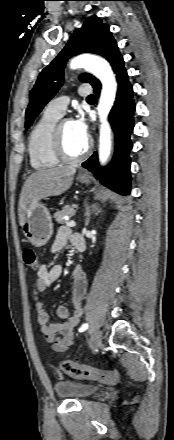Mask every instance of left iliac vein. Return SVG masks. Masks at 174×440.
I'll use <instances>...</instances> for the list:
<instances>
[{
    "instance_id": "obj_1",
    "label": "left iliac vein",
    "mask_w": 174,
    "mask_h": 440,
    "mask_svg": "<svg viewBox=\"0 0 174 440\" xmlns=\"http://www.w3.org/2000/svg\"><path fill=\"white\" fill-rule=\"evenodd\" d=\"M101 336H102L101 331H100V330H97V331L95 332V335H94L93 341L90 343V348H91L92 350H94L96 347H98V346L101 345Z\"/></svg>"
}]
</instances>
